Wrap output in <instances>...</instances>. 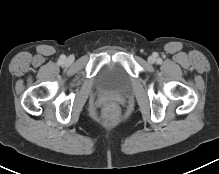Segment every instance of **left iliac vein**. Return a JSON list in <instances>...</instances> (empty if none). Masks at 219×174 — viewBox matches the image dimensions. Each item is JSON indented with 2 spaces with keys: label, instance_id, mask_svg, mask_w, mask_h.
<instances>
[{
  "label": "left iliac vein",
  "instance_id": "obj_1",
  "mask_svg": "<svg viewBox=\"0 0 219 174\" xmlns=\"http://www.w3.org/2000/svg\"><path fill=\"white\" fill-rule=\"evenodd\" d=\"M148 62H149L150 64H153V63L155 62V57L150 56V57L148 58Z\"/></svg>",
  "mask_w": 219,
  "mask_h": 174
}]
</instances>
